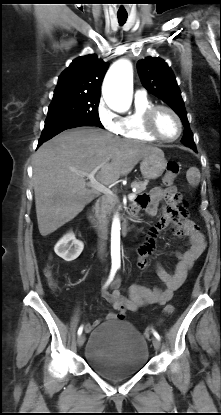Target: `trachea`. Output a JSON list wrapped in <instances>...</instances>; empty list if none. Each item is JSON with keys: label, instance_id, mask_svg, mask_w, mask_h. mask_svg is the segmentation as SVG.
<instances>
[{"label": "trachea", "instance_id": "1", "mask_svg": "<svg viewBox=\"0 0 221 415\" xmlns=\"http://www.w3.org/2000/svg\"><path fill=\"white\" fill-rule=\"evenodd\" d=\"M117 17L119 24L123 25L126 22L128 15H117Z\"/></svg>", "mask_w": 221, "mask_h": 415}]
</instances>
